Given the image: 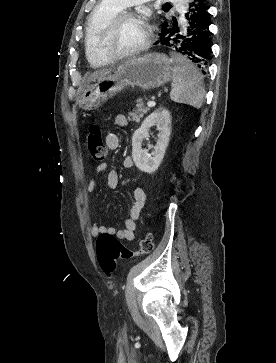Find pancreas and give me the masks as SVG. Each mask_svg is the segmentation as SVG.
Returning a JSON list of instances; mask_svg holds the SVG:
<instances>
[{
    "label": "pancreas",
    "instance_id": "1",
    "mask_svg": "<svg viewBox=\"0 0 276 363\" xmlns=\"http://www.w3.org/2000/svg\"><path fill=\"white\" fill-rule=\"evenodd\" d=\"M149 111L148 107L144 106L143 100L139 99L132 112H129V117L132 121L139 122L140 119Z\"/></svg>",
    "mask_w": 276,
    "mask_h": 363
}]
</instances>
